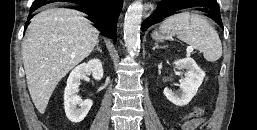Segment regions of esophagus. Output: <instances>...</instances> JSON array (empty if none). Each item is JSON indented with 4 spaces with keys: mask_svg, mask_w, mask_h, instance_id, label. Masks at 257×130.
Masks as SVG:
<instances>
[{
    "mask_svg": "<svg viewBox=\"0 0 257 130\" xmlns=\"http://www.w3.org/2000/svg\"><path fill=\"white\" fill-rule=\"evenodd\" d=\"M153 10H154V5L152 3H150V2L145 3L143 16L144 17L149 16Z\"/></svg>",
    "mask_w": 257,
    "mask_h": 130,
    "instance_id": "1",
    "label": "esophagus"
}]
</instances>
